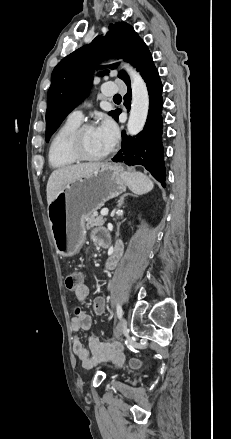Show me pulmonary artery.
<instances>
[{
	"label": "pulmonary artery",
	"mask_w": 231,
	"mask_h": 439,
	"mask_svg": "<svg viewBox=\"0 0 231 439\" xmlns=\"http://www.w3.org/2000/svg\"><path fill=\"white\" fill-rule=\"evenodd\" d=\"M117 91H118V86L113 82L106 83L102 86V93L105 96L113 95ZM68 118L81 122L83 118V112L81 109H75L72 112H70Z\"/></svg>",
	"instance_id": "obj_1"
}]
</instances>
